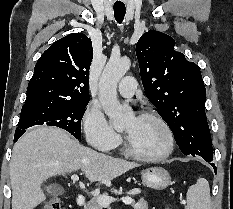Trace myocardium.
Masks as SVG:
<instances>
[{"instance_id": "1", "label": "myocardium", "mask_w": 233, "mask_h": 209, "mask_svg": "<svg viewBox=\"0 0 233 209\" xmlns=\"http://www.w3.org/2000/svg\"><path fill=\"white\" fill-rule=\"evenodd\" d=\"M138 117L151 118L160 124V126L163 128V130L166 134V140H167L166 147L159 154L144 155V154H141V153L135 151L132 148V146L130 145L128 139L126 138L125 142H124V149H125L126 154L128 156H130L136 160L142 161V162H159V161H162V160L166 159L167 157H169L170 154L174 150L175 139H174L173 131H172L170 125L167 123V121L161 115H159L157 112L151 111V110L141 112Z\"/></svg>"}]
</instances>
